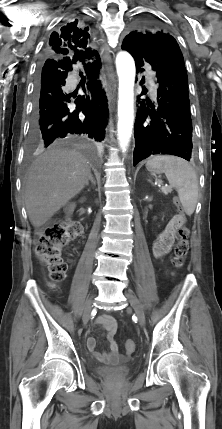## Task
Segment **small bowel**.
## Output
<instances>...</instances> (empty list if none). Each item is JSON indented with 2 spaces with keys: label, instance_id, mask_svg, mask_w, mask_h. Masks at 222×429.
I'll use <instances>...</instances> for the list:
<instances>
[{
  "label": "small bowel",
  "instance_id": "obj_1",
  "mask_svg": "<svg viewBox=\"0 0 222 429\" xmlns=\"http://www.w3.org/2000/svg\"><path fill=\"white\" fill-rule=\"evenodd\" d=\"M183 221L180 215H175L167 223L164 230L159 234L157 240L153 245V254L159 258L168 253L174 243L175 235ZM97 323L105 330V337L109 344V351L101 352L97 350V340L95 337H89L87 339V347L92 353L95 359L99 362L110 366H117L120 363L126 361V358L119 353L118 344L115 340V334L117 331L116 320L108 314H102L97 318Z\"/></svg>",
  "mask_w": 222,
  "mask_h": 429
}]
</instances>
